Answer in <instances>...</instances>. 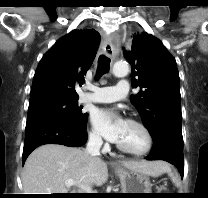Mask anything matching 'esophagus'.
Listing matches in <instances>:
<instances>
[{
    "mask_svg": "<svg viewBox=\"0 0 208 198\" xmlns=\"http://www.w3.org/2000/svg\"><path fill=\"white\" fill-rule=\"evenodd\" d=\"M104 52L106 55L111 56L113 54L112 44L107 41L104 45Z\"/></svg>",
    "mask_w": 208,
    "mask_h": 198,
    "instance_id": "obj_1",
    "label": "esophagus"
}]
</instances>
